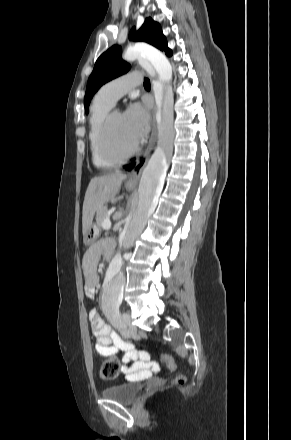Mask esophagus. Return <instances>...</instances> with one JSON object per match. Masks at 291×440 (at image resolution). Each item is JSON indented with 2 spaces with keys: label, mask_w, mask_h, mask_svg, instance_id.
Returning <instances> with one entry per match:
<instances>
[{
  "label": "esophagus",
  "mask_w": 291,
  "mask_h": 440,
  "mask_svg": "<svg viewBox=\"0 0 291 440\" xmlns=\"http://www.w3.org/2000/svg\"><path fill=\"white\" fill-rule=\"evenodd\" d=\"M156 138V121H155V110L153 112V121H152V132L148 141V145L143 153L138 157L137 163L133 171L128 176V182L132 185H137L143 171V168L147 164L149 159V154L153 148L154 142Z\"/></svg>",
  "instance_id": "1"
}]
</instances>
